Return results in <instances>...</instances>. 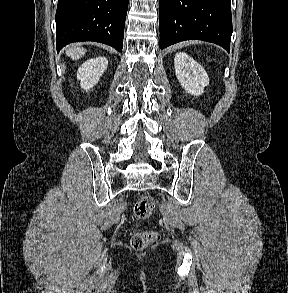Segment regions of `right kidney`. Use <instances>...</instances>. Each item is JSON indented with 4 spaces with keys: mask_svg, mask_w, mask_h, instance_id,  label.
I'll return each instance as SVG.
<instances>
[{
    "mask_svg": "<svg viewBox=\"0 0 288 293\" xmlns=\"http://www.w3.org/2000/svg\"><path fill=\"white\" fill-rule=\"evenodd\" d=\"M107 66L108 60L105 57H96L84 62L77 71L81 88L88 91L96 85Z\"/></svg>",
    "mask_w": 288,
    "mask_h": 293,
    "instance_id": "obj_1",
    "label": "right kidney"
}]
</instances>
